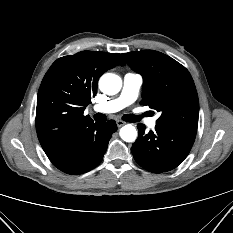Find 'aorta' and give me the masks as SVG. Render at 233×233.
Segmentation results:
<instances>
[{
    "instance_id": "1",
    "label": "aorta",
    "mask_w": 233,
    "mask_h": 233,
    "mask_svg": "<svg viewBox=\"0 0 233 233\" xmlns=\"http://www.w3.org/2000/svg\"><path fill=\"white\" fill-rule=\"evenodd\" d=\"M122 80L118 75L106 73L99 80L100 90L108 95H114L120 91ZM120 137L126 142H134L137 138V130L128 124L120 129Z\"/></svg>"
}]
</instances>
